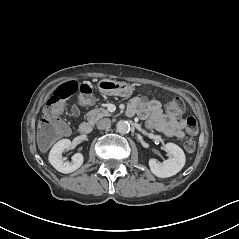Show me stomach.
Instances as JSON below:
<instances>
[{
	"instance_id": "1",
	"label": "stomach",
	"mask_w": 239,
	"mask_h": 239,
	"mask_svg": "<svg viewBox=\"0 0 239 239\" xmlns=\"http://www.w3.org/2000/svg\"><path fill=\"white\" fill-rule=\"evenodd\" d=\"M97 91L106 96L128 98L133 95L135 87L125 81L102 78L97 82Z\"/></svg>"
}]
</instances>
